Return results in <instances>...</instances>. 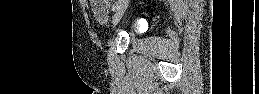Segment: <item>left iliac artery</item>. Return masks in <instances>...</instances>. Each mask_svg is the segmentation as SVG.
<instances>
[{"label":"left iliac artery","mask_w":259,"mask_h":94,"mask_svg":"<svg viewBox=\"0 0 259 94\" xmlns=\"http://www.w3.org/2000/svg\"><path fill=\"white\" fill-rule=\"evenodd\" d=\"M122 1L121 0H118L114 3L113 7H112V10L115 11L119 8V6L121 5Z\"/></svg>","instance_id":"44dca946"}]
</instances>
